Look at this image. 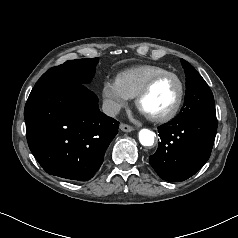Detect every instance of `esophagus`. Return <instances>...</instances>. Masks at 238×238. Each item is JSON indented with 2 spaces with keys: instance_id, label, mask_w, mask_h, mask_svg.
<instances>
[{
  "instance_id": "1",
  "label": "esophagus",
  "mask_w": 238,
  "mask_h": 238,
  "mask_svg": "<svg viewBox=\"0 0 238 238\" xmlns=\"http://www.w3.org/2000/svg\"><path fill=\"white\" fill-rule=\"evenodd\" d=\"M119 128H120L122 131H124V132H131V131H133V127H132V126L127 125V124H124V123H121V124L119 125Z\"/></svg>"
}]
</instances>
